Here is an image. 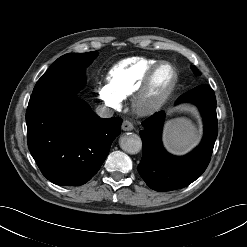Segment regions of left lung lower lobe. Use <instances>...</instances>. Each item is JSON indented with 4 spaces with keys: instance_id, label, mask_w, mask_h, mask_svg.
<instances>
[{
    "instance_id": "0a47b994",
    "label": "left lung lower lobe",
    "mask_w": 247,
    "mask_h": 247,
    "mask_svg": "<svg viewBox=\"0 0 247 247\" xmlns=\"http://www.w3.org/2000/svg\"><path fill=\"white\" fill-rule=\"evenodd\" d=\"M195 103L204 119V138L190 154L176 157L168 154L161 144L164 112L155 113L142 123L139 132L143 155L138 171L153 190L164 192L183 188L195 181L207 168L218 134L216 97L208 85H199L181 95L176 104Z\"/></svg>"
}]
</instances>
